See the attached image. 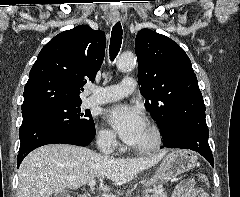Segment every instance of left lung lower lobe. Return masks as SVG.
<instances>
[{
  "label": "left lung lower lobe",
  "mask_w": 240,
  "mask_h": 197,
  "mask_svg": "<svg viewBox=\"0 0 240 197\" xmlns=\"http://www.w3.org/2000/svg\"><path fill=\"white\" fill-rule=\"evenodd\" d=\"M158 127L168 148L190 149L200 153L214 167L213 155L208 143L209 131L205 120L202 99H192L179 114L159 119Z\"/></svg>",
  "instance_id": "1"
}]
</instances>
